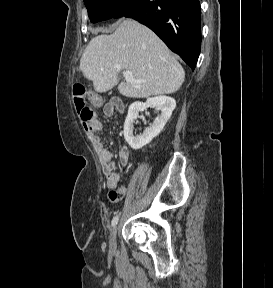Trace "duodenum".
Returning a JSON list of instances; mask_svg holds the SVG:
<instances>
[{"label":"duodenum","mask_w":273,"mask_h":288,"mask_svg":"<svg viewBox=\"0 0 273 288\" xmlns=\"http://www.w3.org/2000/svg\"><path fill=\"white\" fill-rule=\"evenodd\" d=\"M113 103H114V104H117V102H116V101H114Z\"/></svg>","instance_id":"410a0bca"}]
</instances>
